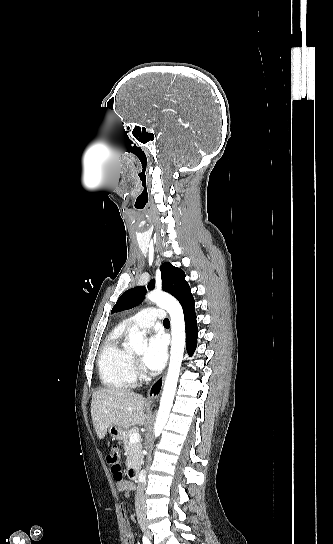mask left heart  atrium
Returning a JSON list of instances; mask_svg holds the SVG:
<instances>
[{"instance_id":"1","label":"left heart atrium","mask_w":333,"mask_h":544,"mask_svg":"<svg viewBox=\"0 0 333 544\" xmlns=\"http://www.w3.org/2000/svg\"><path fill=\"white\" fill-rule=\"evenodd\" d=\"M167 359V342L164 335L156 333L151 336L143 356L145 366L153 372L161 370Z\"/></svg>"}]
</instances>
